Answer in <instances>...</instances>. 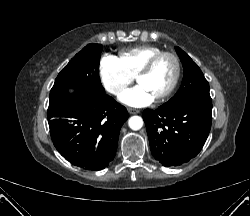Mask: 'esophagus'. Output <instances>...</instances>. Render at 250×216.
I'll return each instance as SVG.
<instances>
[{
	"label": "esophagus",
	"instance_id": "obj_1",
	"mask_svg": "<svg viewBox=\"0 0 250 216\" xmlns=\"http://www.w3.org/2000/svg\"><path fill=\"white\" fill-rule=\"evenodd\" d=\"M127 110H128V112H129L130 114H137V113L140 112L139 110L134 109V108H127Z\"/></svg>",
	"mask_w": 250,
	"mask_h": 216
}]
</instances>
